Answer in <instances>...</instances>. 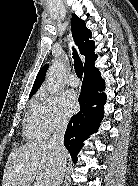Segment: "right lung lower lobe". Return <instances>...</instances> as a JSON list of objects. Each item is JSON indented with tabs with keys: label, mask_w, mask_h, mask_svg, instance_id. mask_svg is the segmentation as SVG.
<instances>
[{
	"label": "right lung lower lobe",
	"mask_w": 138,
	"mask_h": 186,
	"mask_svg": "<svg viewBox=\"0 0 138 186\" xmlns=\"http://www.w3.org/2000/svg\"><path fill=\"white\" fill-rule=\"evenodd\" d=\"M104 88L105 82L100 74H85L79 97L80 112L71 118L64 137V145L73 162L77 161V154L83 147V141L95 133L100 126L106 95L98 91ZM93 105L97 106L93 107Z\"/></svg>",
	"instance_id": "98d812e1"
}]
</instances>
